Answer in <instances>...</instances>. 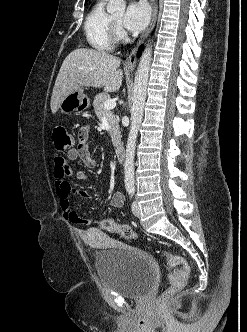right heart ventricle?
I'll return each mask as SVG.
<instances>
[{"instance_id":"right-heart-ventricle-1","label":"right heart ventricle","mask_w":247,"mask_h":332,"mask_svg":"<svg viewBox=\"0 0 247 332\" xmlns=\"http://www.w3.org/2000/svg\"><path fill=\"white\" fill-rule=\"evenodd\" d=\"M108 0H98L88 13L84 31L88 44L98 51H110L113 42L109 34L110 15L105 9Z\"/></svg>"}]
</instances>
